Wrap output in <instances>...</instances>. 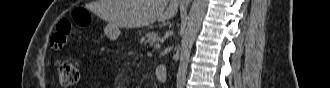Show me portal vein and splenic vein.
<instances>
[{"mask_svg": "<svg viewBox=\"0 0 330 88\" xmlns=\"http://www.w3.org/2000/svg\"><path fill=\"white\" fill-rule=\"evenodd\" d=\"M161 47V45L159 44V43H156L155 45H154V48L155 49H158V48H160Z\"/></svg>", "mask_w": 330, "mask_h": 88, "instance_id": "1", "label": "portal vein and splenic vein"}]
</instances>
